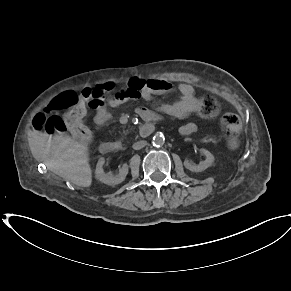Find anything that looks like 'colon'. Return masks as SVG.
I'll use <instances>...</instances> for the list:
<instances>
[{
	"label": "colon",
	"mask_w": 291,
	"mask_h": 291,
	"mask_svg": "<svg viewBox=\"0 0 291 291\" xmlns=\"http://www.w3.org/2000/svg\"><path fill=\"white\" fill-rule=\"evenodd\" d=\"M107 93L109 86L101 89ZM93 90L85 89L81 93L64 91L55 96L50 102L45 103V109L38 113L33 120L36 129H43L47 134L69 131L79 145H86L91 140V132L84 124L88 102L93 100ZM181 107H193L195 114L202 117H211L217 110L214 98L207 96L200 98H181ZM241 121L233 113H225L221 117V128L230 142L235 143L241 131Z\"/></svg>",
	"instance_id": "1"
}]
</instances>
